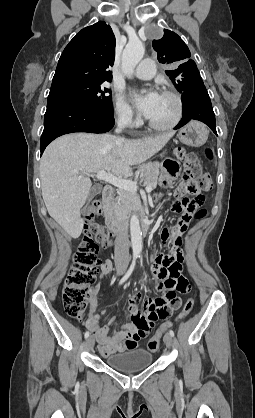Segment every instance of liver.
Instances as JSON below:
<instances>
[{"label":"liver","instance_id":"obj_1","mask_svg":"<svg viewBox=\"0 0 255 418\" xmlns=\"http://www.w3.org/2000/svg\"><path fill=\"white\" fill-rule=\"evenodd\" d=\"M174 132L125 139L111 134L72 133L54 140L40 161L42 196L49 215L70 235L83 229L81 208L91 189L86 174L104 170L120 177L133 174L132 166L159 152Z\"/></svg>","mask_w":255,"mask_h":418}]
</instances>
